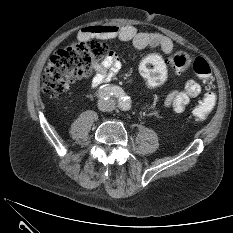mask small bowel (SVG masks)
<instances>
[{
	"instance_id": "c3829d8e",
	"label": "small bowel",
	"mask_w": 233,
	"mask_h": 233,
	"mask_svg": "<svg viewBox=\"0 0 233 233\" xmlns=\"http://www.w3.org/2000/svg\"><path fill=\"white\" fill-rule=\"evenodd\" d=\"M80 39L99 37L102 39L117 38L123 42H131L137 49H160L163 54L170 56L173 52V42L167 36L159 33L142 32L132 25H97L83 28ZM95 75L90 86L102 90L108 86L113 76L120 68V60L115 52H109L103 61L92 64ZM201 93V86L195 80H188L183 88L171 91L164 100V106L177 113H182L192 98Z\"/></svg>"
}]
</instances>
